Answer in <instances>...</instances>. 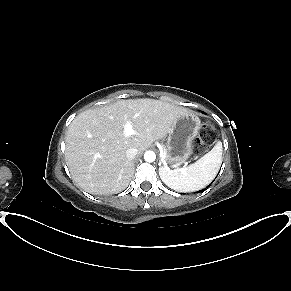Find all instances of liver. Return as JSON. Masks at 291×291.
Returning <instances> with one entry per match:
<instances>
[{"instance_id": "6515ba94", "label": "liver", "mask_w": 291, "mask_h": 291, "mask_svg": "<svg viewBox=\"0 0 291 291\" xmlns=\"http://www.w3.org/2000/svg\"><path fill=\"white\" fill-rule=\"evenodd\" d=\"M189 113L187 108L149 98L120 100L84 111L71 122L65 138L66 164L74 182L91 194L123 191L134 174L126 150L135 147L143 153ZM126 121L135 135L124 136Z\"/></svg>"}]
</instances>
